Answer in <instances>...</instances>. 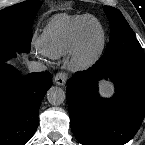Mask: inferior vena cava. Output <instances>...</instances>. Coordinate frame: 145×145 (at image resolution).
<instances>
[{
  "instance_id": "inferior-vena-cava-1",
  "label": "inferior vena cava",
  "mask_w": 145,
  "mask_h": 145,
  "mask_svg": "<svg viewBox=\"0 0 145 145\" xmlns=\"http://www.w3.org/2000/svg\"><path fill=\"white\" fill-rule=\"evenodd\" d=\"M27 65L30 72H41L46 70V66L40 61H30Z\"/></svg>"
}]
</instances>
